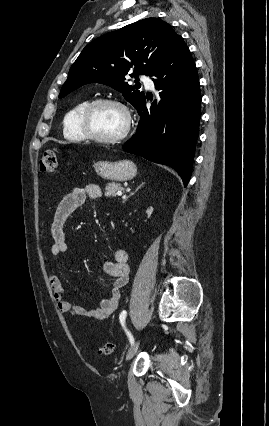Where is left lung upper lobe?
Here are the masks:
<instances>
[{"mask_svg":"<svg viewBox=\"0 0 269 426\" xmlns=\"http://www.w3.org/2000/svg\"><path fill=\"white\" fill-rule=\"evenodd\" d=\"M178 36L168 23L146 18L95 39L73 63L59 98L84 84L97 82L123 92L137 108L145 95L129 85L126 76L150 75Z\"/></svg>","mask_w":269,"mask_h":426,"instance_id":"left-lung-upper-lobe-1","label":"left lung upper lobe"}]
</instances>
